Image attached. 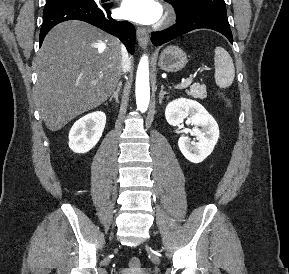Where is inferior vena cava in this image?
<instances>
[{
    "label": "inferior vena cava",
    "mask_w": 289,
    "mask_h": 274,
    "mask_svg": "<svg viewBox=\"0 0 289 274\" xmlns=\"http://www.w3.org/2000/svg\"><path fill=\"white\" fill-rule=\"evenodd\" d=\"M121 55H122V70L123 72H127L130 68V59L128 57L126 49L123 46H121Z\"/></svg>",
    "instance_id": "1"
}]
</instances>
